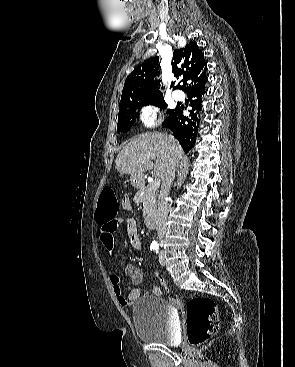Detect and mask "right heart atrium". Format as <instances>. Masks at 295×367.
Here are the masks:
<instances>
[{
  "label": "right heart atrium",
  "mask_w": 295,
  "mask_h": 367,
  "mask_svg": "<svg viewBox=\"0 0 295 367\" xmlns=\"http://www.w3.org/2000/svg\"><path fill=\"white\" fill-rule=\"evenodd\" d=\"M139 119L145 127H154L160 122L161 113L157 107L146 105L140 110Z\"/></svg>",
  "instance_id": "right-heart-atrium-1"
}]
</instances>
